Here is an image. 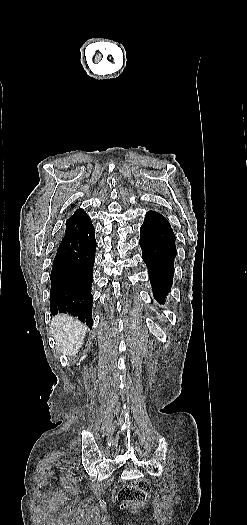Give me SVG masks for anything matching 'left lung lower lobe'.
Listing matches in <instances>:
<instances>
[{
    "label": "left lung lower lobe",
    "instance_id": "1",
    "mask_svg": "<svg viewBox=\"0 0 247 525\" xmlns=\"http://www.w3.org/2000/svg\"><path fill=\"white\" fill-rule=\"evenodd\" d=\"M140 232L139 244L153 293L158 302L163 303L173 280L175 235L168 220L161 214L152 212L146 213Z\"/></svg>",
    "mask_w": 247,
    "mask_h": 525
}]
</instances>
